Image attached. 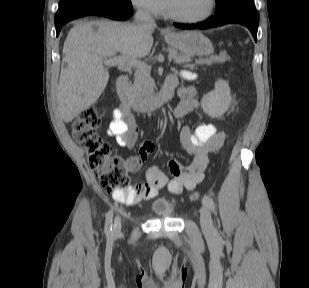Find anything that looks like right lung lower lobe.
Listing matches in <instances>:
<instances>
[{"instance_id":"1","label":"right lung lower lobe","mask_w":309,"mask_h":288,"mask_svg":"<svg viewBox=\"0 0 309 288\" xmlns=\"http://www.w3.org/2000/svg\"><path fill=\"white\" fill-rule=\"evenodd\" d=\"M86 15H98L115 20H126L132 15V6L109 2H95L83 5L55 21L57 36L65 23Z\"/></svg>"}]
</instances>
